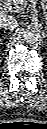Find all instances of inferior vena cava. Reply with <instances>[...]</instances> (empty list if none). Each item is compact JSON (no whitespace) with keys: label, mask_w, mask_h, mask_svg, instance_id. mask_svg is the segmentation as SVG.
Listing matches in <instances>:
<instances>
[{"label":"inferior vena cava","mask_w":47,"mask_h":129,"mask_svg":"<svg viewBox=\"0 0 47 129\" xmlns=\"http://www.w3.org/2000/svg\"><path fill=\"white\" fill-rule=\"evenodd\" d=\"M0 27L7 30H14L18 27V22L15 17L3 15L0 20Z\"/></svg>","instance_id":"inferior-vena-cava-1"}]
</instances>
